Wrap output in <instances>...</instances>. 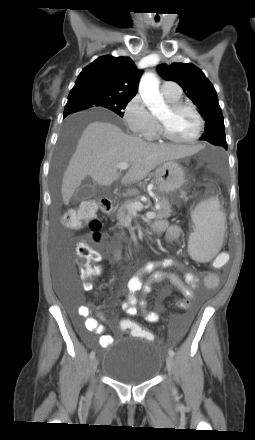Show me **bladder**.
<instances>
[{"instance_id":"31cf9c89","label":"bladder","mask_w":255,"mask_h":440,"mask_svg":"<svg viewBox=\"0 0 255 440\" xmlns=\"http://www.w3.org/2000/svg\"><path fill=\"white\" fill-rule=\"evenodd\" d=\"M161 364L160 348L142 338L133 346L114 345L102 366V371L117 382L137 385L151 381L159 372Z\"/></svg>"}]
</instances>
